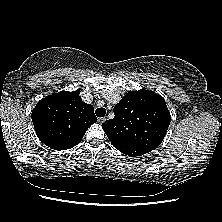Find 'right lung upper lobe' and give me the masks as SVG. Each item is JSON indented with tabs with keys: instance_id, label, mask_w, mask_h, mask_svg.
Wrapping results in <instances>:
<instances>
[{
	"instance_id": "obj_1",
	"label": "right lung upper lobe",
	"mask_w": 222,
	"mask_h": 222,
	"mask_svg": "<svg viewBox=\"0 0 222 222\" xmlns=\"http://www.w3.org/2000/svg\"><path fill=\"white\" fill-rule=\"evenodd\" d=\"M80 91H61L41 99L32 111L38 138L54 150L70 149L82 140L97 121L94 108L79 96Z\"/></svg>"
}]
</instances>
